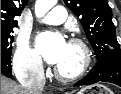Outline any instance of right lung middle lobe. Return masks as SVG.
<instances>
[{
  "label": "right lung middle lobe",
  "mask_w": 121,
  "mask_h": 94,
  "mask_svg": "<svg viewBox=\"0 0 121 94\" xmlns=\"http://www.w3.org/2000/svg\"><path fill=\"white\" fill-rule=\"evenodd\" d=\"M12 30H1V57H11L13 36Z\"/></svg>",
  "instance_id": "dd1d6c3e"
}]
</instances>
